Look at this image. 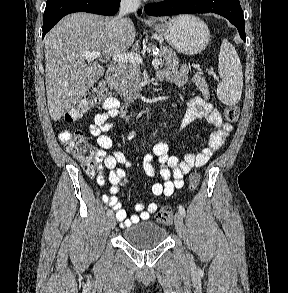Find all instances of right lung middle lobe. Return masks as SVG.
I'll return each instance as SVG.
<instances>
[{
    "label": "right lung middle lobe",
    "instance_id": "right-lung-middle-lobe-1",
    "mask_svg": "<svg viewBox=\"0 0 288 293\" xmlns=\"http://www.w3.org/2000/svg\"><path fill=\"white\" fill-rule=\"evenodd\" d=\"M54 1H56V0H47L46 3H51V2H54Z\"/></svg>",
    "mask_w": 288,
    "mask_h": 293
}]
</instances>
